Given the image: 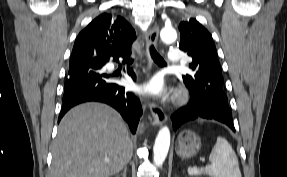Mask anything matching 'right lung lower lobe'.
I'll return each mask as SVG.
<instances>
[{"label": "right lung lower lobe", "mask_w": 287, "mask_h": 177, "mask_svg": "<svg viewBox=\"0 0 287 177\" xmlns=\"http://www.w3.org/2000/svg\"><path fill=\"white\" fill-rule=\"evenodd\" d=\"M130 54L112 51L109 54H96L91 59L69 68L64 86L63 106L58 121L72 107L84 102H102L115 108L128 122L132 133L136 132L142 115L140 100L125 87L111 81V76L103 73L104 65L111 59L122 57L127 60ZM127 73L135 81L136 75L131 68Z\"/></svg>", "instance_id": "right-lung-lower-lobe-1"}]
</instances>
